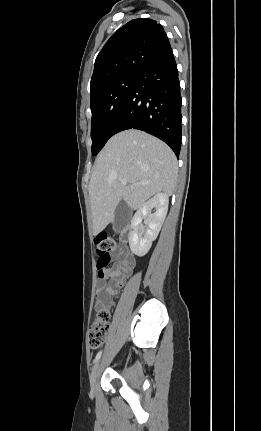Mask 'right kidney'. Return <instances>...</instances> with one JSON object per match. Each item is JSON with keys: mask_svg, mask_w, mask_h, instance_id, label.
<instances>
[{"mask_svg": "<svg viewBox=\"0 0 261 431\" xmlns=\"http://www.w3.org/2000/svg\"><path fill=\"white\" fill-rule=\"evenodd\" d=\"M169 198L165 193H158L145 202L132 219L133 230L129 234V245L133 254L144 256L157 238L168 211ZM155 208L156 211L151 213ZM145 219L147 229L142 235L140 224Z\"/></svg>", "mask_w": 261, "mask_h": 431, "instance_id": "1", "label": "right kidney"}]
</instances>
